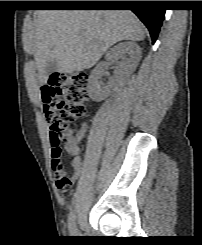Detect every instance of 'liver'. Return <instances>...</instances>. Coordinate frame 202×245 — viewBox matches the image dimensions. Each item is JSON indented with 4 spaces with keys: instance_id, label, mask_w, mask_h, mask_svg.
I'll return each mask as SVG.
<instances>
[{
    "instance_id": "1",
    "label": "liver",
    "mask_w": 202,
    "mask_h": 245,
    "mask_svg": "<svg viewBox=\"0 0 202 245\" xmlns=\"http://www.w3.org/2000/svg\"><path fill=\"white\" fill-rule=\"evenodd\" d=\"M144 38L142 24L130 10H38L33 28L24 34V48L34 52L43 85L52 59L60 73L80 72L94 66L113 44Z\"/></svg>"
}]
</instances>
